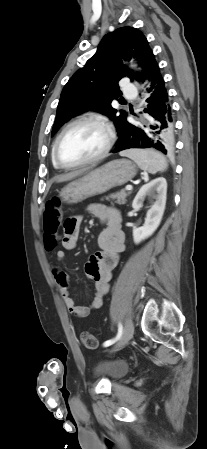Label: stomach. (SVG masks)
Returning a JSON list of instances; mask_svg holds the SVG:
<instances>
[{
    "label": "stomach",
    "mask_w": 207,
    "mask_h": 449,
    "mask_svg": "<svg viewBox=\"0 0 207 449\" xmlns=\"http://www.w3.org/2000/svg\"><path fill=\"white\" fill-rule=\"evenodd\" d=\"M137 173L136 165L127 159H117L85 173L61 189L62 202L76 204L124 185Z\"/></svg>",
    "instance_id": "0dacf381"
}]
</instances>
